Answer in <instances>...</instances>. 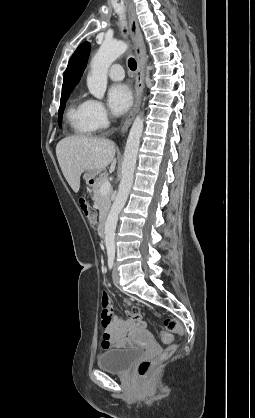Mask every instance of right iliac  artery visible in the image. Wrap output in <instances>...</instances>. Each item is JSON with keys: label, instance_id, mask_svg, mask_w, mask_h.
<instances>
[{"label": "right iliac artery", "instance_id": "1", "mask_svg": "<svg viewBox=\"0 0 255 418\" xmlns=\"http://www.w3.org/2000/svg\"><path fill=\"white\" fill-rule=\"evenodd\" d=\"M113 266H114V257L113 256H110L108 258V267H109V269H112Z\"/></svg>", "mask_w": 255, "mask_h": 418}]
</instances>
